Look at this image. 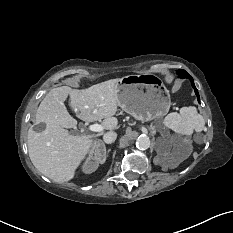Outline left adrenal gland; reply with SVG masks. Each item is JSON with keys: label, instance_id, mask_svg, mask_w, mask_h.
<instances>
[{"label": "left adrenal gland", "instance_id": "a2214340", "mask_svg": "<svg viewBox=\"0 0 233 233\" xmlns=\"http://www.w3.org/2000/svg\"><path fill=\"white\" fill-rule=\"evenodd\" d=\"M151 134L154 136L155 134V130H154V127L151 128Z\"/></svg>", "mask_w": 233, "mask_h": 233}]
</instances>
